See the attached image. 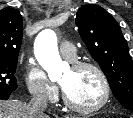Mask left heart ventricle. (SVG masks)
Returning <instances> with one entry per match:
<instances>
[{
    "instance_id": "1",
    "label": "left heart ventricle",
    "mask_w": 133,
    "mask_h": 118,
    "mask_svg": "<svg viewBox=\"0 0 133 118\" xmlns=\"http://www.w3.org/2000/svg\"><path fill=\"white\" fill-rule=\"evenodd\" d=\"M60 84L71 102L78 106H92L103 96L101 81L91 69L70 67L60 79Z\"/></svg>"
}]
</instances>
